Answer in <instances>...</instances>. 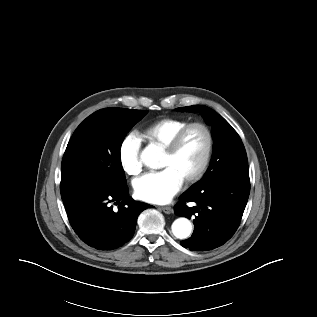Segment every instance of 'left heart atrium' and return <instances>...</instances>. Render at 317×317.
Here are the masks:
<instances>
[{"label": "left heart atrium", "mask_w": 317, "mask_h": 317, "mask_svg": "<svg viewBox=\"0 0 317 317\" xmlns=\"http://www.w3.org/2000/svg\"><path fill=\"white\" fill-rule=\"evenodd\" d=\"M183 179L167 167L159 172L148 173L134 182L136 196L146 202L164 204L180 190Z\"/></svg>", "instance_id": "1"}]
</instances>
